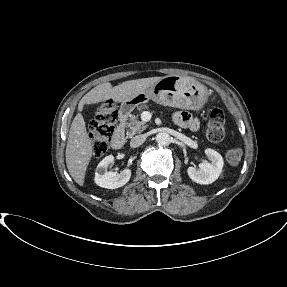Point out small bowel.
Here are the masks:
<instances>
[{
    "label": "small bowel",
    "mask_w": 287,
    "mask_h": 287,
    "mask_svg": "<svg viewBox=\"0 0 287 287\" xmlns=\"http://www.w3.org/2000/svg\"><path fill=\"white\" fill-rule=\"evenodd\" d=\"M173 120L175 124H177L180 127L188 128L190 130H197L199 127V122L197 119H195L192 115H190L188 112H177Z\"/></svg>",
    "instance_id": "obj_1"
}]
</instances>
